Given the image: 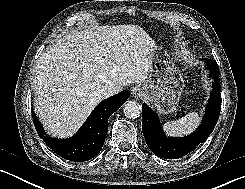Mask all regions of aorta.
Listing matches in <instances>:
<instances>
[{"mask_svg":"<svg viewBox=\"0 0 245 189\" xmlns=\"http://www.w3.org/2000/svg\"><path fill=\"white\" fill-rule=\"evenodd\" d=\"M123 112L127 118L136 119L141 115V106L134 100L127 101Z\"/></svg>","mask_w":245,"mask_h":189,"instance_id":"obj_1","label":"aorta"}]
</instances>
